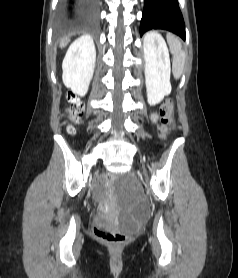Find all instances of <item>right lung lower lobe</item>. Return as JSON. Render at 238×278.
Wrapping results in <instances>:
<instances>
[{
  "label": "right lung lower lobe",
  "instance_id": "98d812e1",
  "mask_svg": "<svg viewBox=\"0 0 238 278\" xmlns=\"http://www.w3.org/2000/svg\"><path fill=\"white\" fill-rule=\"evenodd\" d=\"M97 8L98 0H65L62 26L76 28L94 24Z\"/></svg>",
  "mask_w": 238,
  "mask_h": 278
}]
</instances>
